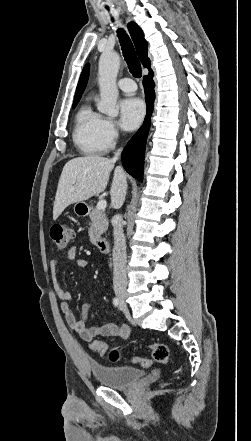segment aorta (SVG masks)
Segmentation results:
<instances>
[{"mask_svg": "<svg viewBox=\"0 0 251 441\" xmlns=\"http://www.w3.org/2000/svg\"><path fill=\"white\" fill-rule=\"evenodd\" d=\"M119 67L120 57L116 52L103 53L101 55L98 69L100 101L97 109L110 117H116L119 113L117 107L119 92L116 85Z\"/></svg>", "mask_w": 251, "mask_h": 441, "instance_id": "1", "label": "aorta"}]
</instances>
